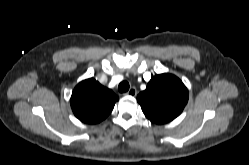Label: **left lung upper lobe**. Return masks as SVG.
I'll return each mask as SVG.
<instances>
[{"label": "left lung upper lobe", "mask_w": 249, "mask_h": 165, "mask_svg": "<svg viewBox=\"0 0 249 165\" xmlns=\"http://www.w3.org/2000/svg\"><path fill=\"white\" fill-rule=\"evenodd\" d=\"M188 90L176 76L155 75L146 90L137 96L145 116L153 123L165 124L179 116L188 102Z\"/></svg>", "instance_id": "left-lung-upper-lobe-1"}]
</instances>
